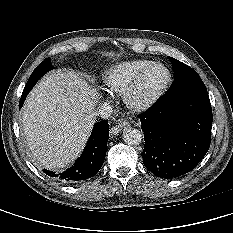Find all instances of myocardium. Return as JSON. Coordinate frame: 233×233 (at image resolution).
I'll return each mask as SVG.
<instances>
[{
	"label": "myocardium",
	"mask_w": 233,
	"mask_h": 233,
	"mask_svg": "<svg viewBox=\"0 0 233 233\" xmlns=\"http://www.w3.org/2000/svg\"><path fill=\"white\" fill-rule=\"evenodd\" d=\"M162 68L166 72V80L164 83L148 96H142L141 91L144 82L148 75L155 69ZM172 83V74L169 68L162 64L155 62L148 68H146L128 87L124 93V101L126 105L133 111L141 112L151 108L168 90Z\"/></svg>",
	"instance_id": "1"
}]
</instances>
